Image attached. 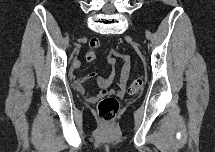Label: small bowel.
Masks as SVG:
<instances>
[{
  "label": "small bowel",
  "instance_id": "small-bowel-1",
  "mask_svg": "<svg viewBox=\"0 0 215 152\" xmlns=\"http://www.w3.org/2000/svg\"><path fill=\"white\" fill-rule=\"evenodd\" d=\"M112 53L119 55L122 58V65L120 69V74L117 79H115L114 74H111L109 77H101L96 72H91L87 76L83 78H76L73 76V85L75 89L84 95L86 99L89 102H96L101 97H103L106 94H113L118 97H122L125 93V88L127 85L130 68H131V58L127 54H121L118 52L113 51ZM108 64L111 66V68L115 69L118 66V62L114 57L108 58ZM88 79H94L96 82V85L99 89V92L97 94H87L85 89V81ZM116 83V89L109 90L110 86L113 83Z\"/></svg>",
  "mask_w": 215,
  "mask_h": 152
}]
</instances>
